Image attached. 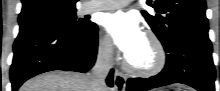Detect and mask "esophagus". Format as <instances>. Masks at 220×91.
I'll return each instance as SVG.
<instances>
[{"label": "esophagus", "instance_id": "1", "mask_svg": "<svg viewBox=\"0 0 220 91\" xmlns=\"http://www.w3.org/2000/svg\"><path fill=\"white\" fill-rule=\"evenodd\" d=\"M126 76L119 70L114 74V88L116 91H125L126 89Z\"/></svg>", "mask_w": 220, "mask_h": 91}]
</instances>
